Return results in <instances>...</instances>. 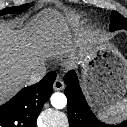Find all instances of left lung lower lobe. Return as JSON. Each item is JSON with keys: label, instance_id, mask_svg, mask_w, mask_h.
Listing matches in <instances>:
<instances>
[{"label": "left lung lower lobe", "instance_id": "obj_1", "mask_svg": "<svg viewBox=\"0 0 127 127\" xmlns=\"http://www.w3.org/2000/svg\"><path fill=\"white\" fill-rule=\"evenodd\" d=\"M64 82L67 85L65 95L68 99L70 127H127V120L117 125H108L95 117L85 100L74 70L64 76Z\"/></svg>", "mask_w": 127, "mask_h": 127}]
</instances>
